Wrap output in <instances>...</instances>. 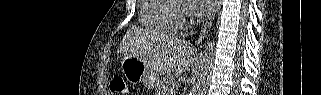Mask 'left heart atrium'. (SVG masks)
I'll list each match as a JSON object with an SVG mask.
<instances>
[{
	"label": "left heart atrium",
	"instance_id": "obj_1",
	"mask_svg": "<svg viewBox=\"0 0 321 95\" xmlns=\"http://www.w3.org/2000/svg\"><path fill=\"white\" fill-rule=\"evenodd\" d=\"M188 12L193 16H200L210 9L212 0H188Z\"/></svg>",
	"mask_w": 321,
	"mask_h": 95
}]
</instances>
